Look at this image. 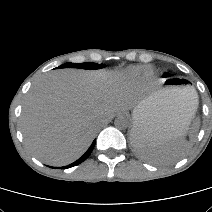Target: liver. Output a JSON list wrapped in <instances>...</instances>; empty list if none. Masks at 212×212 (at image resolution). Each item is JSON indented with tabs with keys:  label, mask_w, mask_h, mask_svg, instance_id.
Masks as SVG:
<instances>
[{
	"label": "liver",
	"mask_w": 212,
	"mask_h": 212,
	"mask_svg": "<svg viewBox=\"0 0 212 212\" xmlns=\"http://www.w3.org/2000/svg\"><path fill=\"white\" fill-rule=\"evenodd\" d=\"M136 90L107 71L57 70L38 79L23 103L20 127L28 150L49 165H67L91 144L100 123L135 106ZM185 131L187 114L175 100Z\"/></svg>",
	"instance_id": "obj_1"
}]
</instances>
